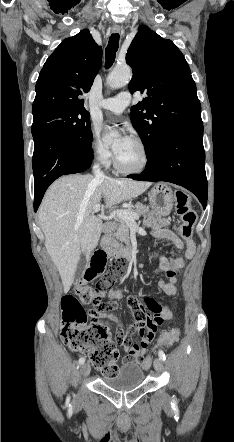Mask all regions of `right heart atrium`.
I'll return each mask as SVG.
<instances>
[{
  "instance_id": "obj_1",
  "label": "right heart atrium",
  "mask_w": 234,
  "mask_h": 442,
  "mask_svg": "<svg viewBox=\"0 0 234 442\" xmlns=\"http://www.w3.org/2000/svg\"><path fill=\"white\" fill-rule=\"evenodd\" d=\"M90 152L93 160L104 167L110 165L112 161V152L100 139L95 131L91 132L90 138Z\"/></svg>"
}]
</instances>
